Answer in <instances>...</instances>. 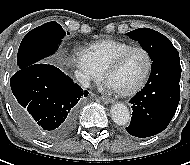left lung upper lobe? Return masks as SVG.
<instances>
[{
    "label": "left lung upper lobe",
    "instance_id": "5c2ea615",
    "mask_svg": "<svg viewBox=\"0 0 190 165\" xmlns=\"http://www.w3.org/2000/svg\"><path fill=\"white\" fill-rule=\"evenodd\" d=\"M127 35L139 42L152 61L164 54L177 51L167 37L149 28H139L128 32Z\"/></svg>",
    "mask_w": 190,
    "mask_h": 165
}]
</instances>
